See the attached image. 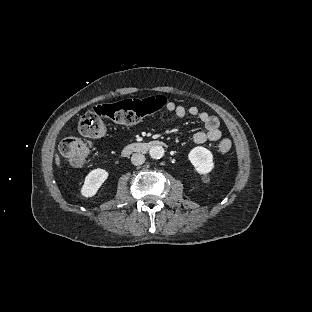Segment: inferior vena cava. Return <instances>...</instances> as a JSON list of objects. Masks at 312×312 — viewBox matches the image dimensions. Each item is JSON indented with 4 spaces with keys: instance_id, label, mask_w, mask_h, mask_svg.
<instances>
[{
    "instance_id": "inferior-vena-cava-1",
    "label": "inferior vena cava",
    "mask_w": 312,
    "mask_h": 312,
    "mask_svg": "<svg viewBox=\"0 0 312 312\" xmlns=\"http://www.w3.org/2000/svg\"><path fill=\"white\" fill-rule=\"evenodd\" d=\"M131 162L133 165H142L145 162V156L140 153H134L131 157Z\"/></svg>"
}]
</instances>
